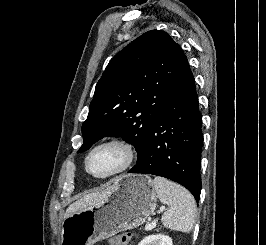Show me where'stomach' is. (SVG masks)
I'll use <instances>...</instances> for the list:
<instances>
[{
    "mask_svg": "<svg viewBox=\"0 0 266 245\" xmlns=\"http://www.w3.org/2000/svg\"><path fill=\"white\" fill-rule=\"evenodd\" d=\"M108 201L67 217L62 227V245H94L120 231L136 229L154 213L157 195L147 175H121Z\"/></svg>",
    "mask_w": 266,
    "mask_h": 245,
    "instance_id": "1",
    "label": "stomach"
}]
</instances>
